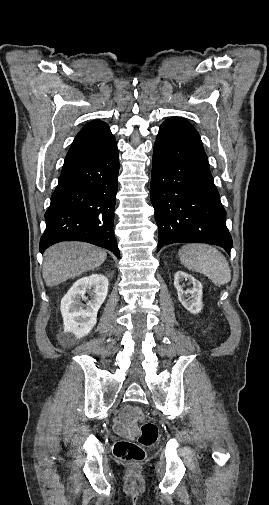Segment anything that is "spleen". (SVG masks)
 Here are the masks:
<instances>
[{"mask_svg":"<svg viewBox=\"0 0 269 505\" xmlns=\"http://www.w3.org/2000/svg\"><path fill=\"white\" fill-rule=\"evenodd\" d=\"M179 258L186 268L206 275L216 285H224L231 280L227 259L213 246L201 243L184 245L179 250Z\"/></svg>","mask_w":269,"mask_h":505,"instance_id":"obj_1","label":"spleen"}]
</instances>
